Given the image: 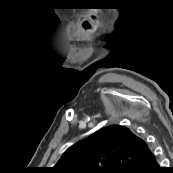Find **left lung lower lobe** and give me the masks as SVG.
<instances>
[{
  "label": "left lung lower lobe",
  "mask_w": 173,
  "mask_h": 173,
  "mask_svg": "<svg viewBox=\"0 0 173 173\" xmlns=\"http://www.w3.org/2000/svg\"><path fill=\"white\" fill-rule=\"evenodd\" d=\"M154 154L152 153L145 164L137 171V173H162Z\"/></svg>",
  "instance_id": "0a47b994"
}]
</instances>
